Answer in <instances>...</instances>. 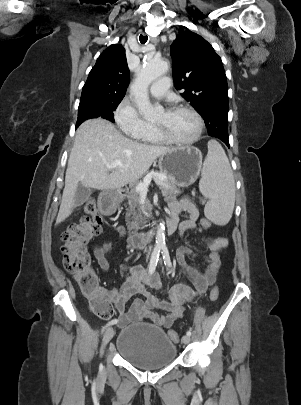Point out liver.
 Here are the masks:
<instances>
[{
    "label": "liver",
    "mask_w": 301,
    "mask_h": 405,
    "mask_svg": "<svg viewBox=\"0 0 301 405\" xmlns=\"http://www.w3.org/2000/svg\"><path fill=\"white\" fill-rule=\"evenodd\" d=\"M170 147L142 144L126 138L104 119L83 122L76 131L65 175V187L56 224L73 212L78 186L98 190L119 189L140 179ZM120 160L111 172L107 165Z\"/></svg>",
    "instance_id": "obj_1"
}]
</instances>
